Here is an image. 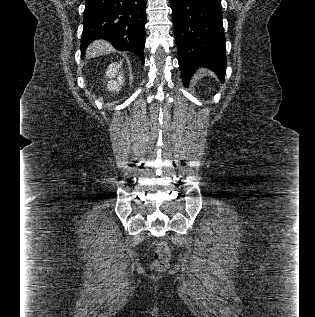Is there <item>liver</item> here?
Instances as JSON below:
<instances>
[{
    "label": "liver",
    "instance_id": "6515ba94",
    "mask_svg": "<svg viewBox=\"0 0 315 317\" xmlns=\"http://www.w3.org/2000/svg\"><path fill=\"white\" fill-rule=\"evenodd\" d=\"M113 51L110 44L105 41L99 40L93 42L87 49V56L96 57L100 55H106Z\"/></svg>",
    "mask_w": 315,
    "mask_h": 317
}]
</instances>
